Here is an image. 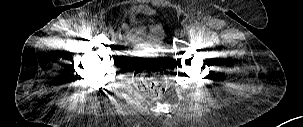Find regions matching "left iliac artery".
<instances>
[{
  "instance_id": "44dca946",
  "label": "left iliac artery",
  "mask_w": 303,
  "mask_h": 127,
  "mask_svg": "<svg viewBox=\"0 0 303 127\" xmlns=\"http://www.w3.org/2000/svg\"><path fill=\"white\" fill-rule=\"evenodd\" d=\"M195 32H196V30L194 28H191V29L188 30V34L190 36H193L195 34Z\"/></svg>"
}]
</instances>
